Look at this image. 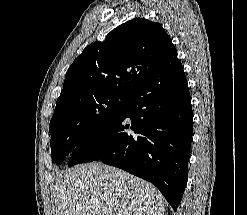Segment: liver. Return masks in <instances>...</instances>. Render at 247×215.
I'll use <instances>...</instances> for the list:
<instances>
[{"mask_svg": "<svg viewBox=\"0 0 247 215\" xmlns=\"http://www.w3.org/2000/svg\"><path fill=\"white\" fill-rule=\"evenodd\" d=\"M54 215H164L163 196L149 182L93 162L64 172L53 190Z\"/></svg>", "mask_w": 247, "mask_h": 215, "instance_id": "1", "label": "liver"}]
</instances>
